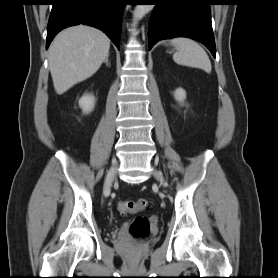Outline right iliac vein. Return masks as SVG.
I'll list each match as a JSON object with an SVG mask.
<instances>
[{"label":"right iliac vein","mask_w":278,"mask_h":278,"mask_svg":"<svg viewBox=\"0 0 278 278\" xmlns=\"http://www.w3.org/2000/svg\"><path fill=\"white\" fill-rule=\"evenodd\" d=\"M115 173H116V166H113L107 176H106V180H105V184H104V192L108 193L110 191L112 182L114 180L115 177Z\"/></svg>","instance_id":"obj_1"}]
</instances>
